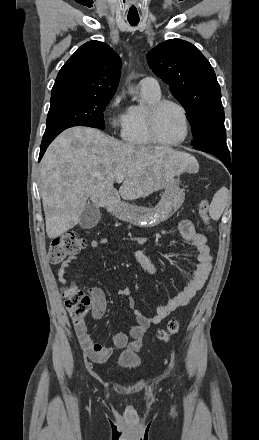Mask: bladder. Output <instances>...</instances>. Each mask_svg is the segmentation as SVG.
<instances>
[{"mask_svg": "<svg viewBox=\"0 0 259 440\" xmlns=\"http://www.w3.org/2000/svg\"><path fill=\"white\" fill-rule=\"evenodd\" d=\"M116 364L120 368H135L141 364V357L132 351H123L116 359Z\"/></svg>", "mask_w": 259, "mask_h": 440, "instance_id": "bladder-1", "label": "bladder"}]
</instances>
